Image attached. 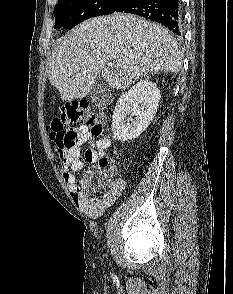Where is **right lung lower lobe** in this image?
<instances>
[{
    "label": "right lung lower lobe",
    "instance_id": "obj_1",
    "mask_svg": "<svg viewBox=\"0 0 233 294\" xmlns=\"http://www.w3.org/2000/svg\"><path fill=\"white\" fill-rule=\"evenodd\" d=\"M114 12L132 13L159 22L178 37L183 33L180 0H123Z\"/></svg>",
    "mask_w": 233,
    "mask_h": 294
}]
</instances>
